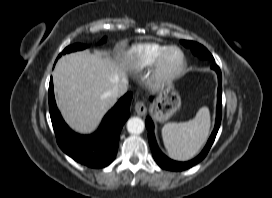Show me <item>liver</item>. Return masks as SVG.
Listing matches in <instances>:
<instances>
[{
    "mask_svg": "<svg viewBox=\"0 0 272 198\" xmlns=\"http://www.w3.org/2000/svg\"><path fill=\"white\" fill-rule=\"evenodd\" d=\"M131 60L129 54L127 62ZM53 82L56 102L67 124L76 132L89 134L116 102L108 93L127 82L125 63L99 51L71 53L58 61Z\"/></svg>",
    "mask_w": 272,
    "mask_h": 198,
    "instance_id": "1",
    "label": "liver"
}]
</instances>
